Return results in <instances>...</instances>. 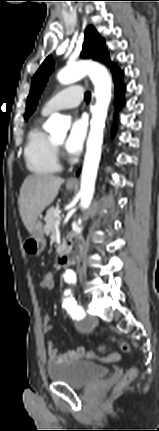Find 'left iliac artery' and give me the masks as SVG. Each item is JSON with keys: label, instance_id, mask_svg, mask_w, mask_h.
<instances>
[{"label": "left iliac artery", "instance_id": "44dca946", "mask_svg": "<svg viewBox=\"0 0 159 431\" xmlns=\"http://www.w3.org/2000/svg\"><path fill=\"white\" fill-rule=\"evenodd\" d=\"M70 283H75L76 280L72 279L69 281ZM65 298L63 299V307L66 309V311L74 318L81 319L85 316V312L83 308L77 304L76 300L74 299L71 290H67L64 293Z\"/></svg>", "mask_w": 159, "mask_h": 431}]
</instances>
